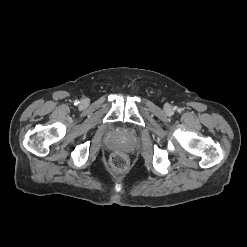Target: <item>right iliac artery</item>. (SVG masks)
<instances>
[{
	"label": "right iliac artery",
	"mask_w": 247,
	"mask_h": 247,
	"mask_svg": "<svg viewBox=\"0 0 247 247\" xmlns=\"http://www.w3.org/2000/svg\"><path fill=\"white\" fill-rule=\"evenodd\" d=\"M78 104H79V101L75 100L74 105H78Z\"/></svg>",
	"instance_id": "82829eb1"
}]
</instances>
